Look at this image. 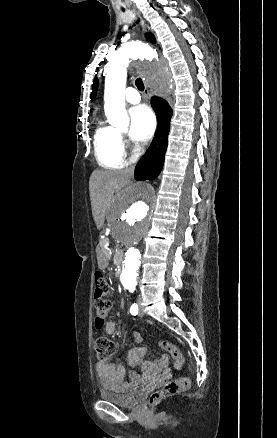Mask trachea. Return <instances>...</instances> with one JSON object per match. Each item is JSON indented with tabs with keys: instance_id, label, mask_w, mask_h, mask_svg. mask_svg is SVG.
Listing matches in <instances>:
<instances>
[{
	"instance_id": "obj_1",
	"label": "trachea",
	"mask_w": 277,
	"mask_h": 438,
	"mask_svg": "<svg viewBox=\"0 0 277 438\" xmlns=\"http://www.w3.org/2000/svg\"><path fill=\"white\" fill-rule=\"evenodd\" d=\"M122 11H124V9H122ZM136 87L140 90L143 91L144 90V84L143 81L141 80V78H137L135 81Z\"/></svg>"
}]
</instances>
